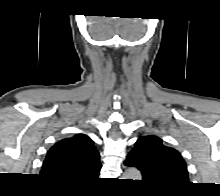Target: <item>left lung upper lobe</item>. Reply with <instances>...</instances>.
I'll use <instances>...</instances> for the list:
<instances>
[{
    "label": "left lung upper lobe",
    "mask_w": 220,
    "mask_h": 196,
    "mask_svg": "<svg viewBox=\"0 0 220 196\" xmlns=\"http://www.w3.org/2000/svg\"><path fill=\"white\" fill-rule=\"evenodd\" d=\"M125 164L138 168L143 182L159 192H173L189 183L181 154L153 135L141 136L128 154Z\"/></svg>",
    "instance_id": "5c2ea615"
}]
</instances>
